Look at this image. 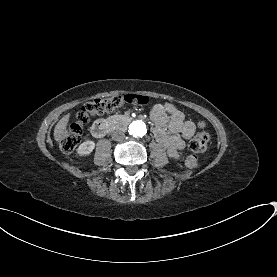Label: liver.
I'll use <instances>...</instances> for the list:
<instances>
[{
	"mask_svg": "<svg viewBox=\"0 0 277 277\" xmlns=\"http://www.w3.org/2000/svg\"><path fill=\"white\" fill-rule=\"evenodd\" d=\"M71 118V113L66 114L64 117H62L59 122L56 124L55 129H54V140L57 143L62 142L66 135V129L69 125Z\"/></svg>",
	"mask_w": 277,
	"mask_h": 277,
	"instance_id": "liver-1",
	"label": "liver"
}]
</instances>
